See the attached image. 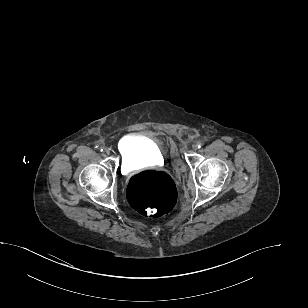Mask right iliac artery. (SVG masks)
I'll return each instance as SVG.
<instances>
[{
    "instance_id": "82829eb1",
    "label": "right iliac artery",
    "mask_w": 308,
    "mask_h": 308,
    "mask_svg": "<svg viewBox=\"0 0 308 308\" xmlns=\"http://www.w3.org/2000/svg\"><path fill=\"white\" fill-rule=\"evenodd\" d=\"M96 148H98V150H100L101 152L104 150V148L102 146H96Z\"/></svg>"
}]
</instances>
